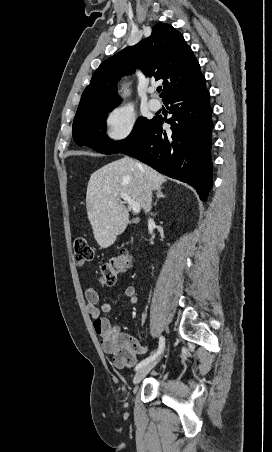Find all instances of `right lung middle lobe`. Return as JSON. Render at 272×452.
<instances>
[{
	"instance_id": "obj_1",
	"label": "right lung middle lobe",
	"mask_w": 272,
	"mask_h": 452,
	"mask_svg": "<svg viewBox=\"0 0 272 452\" xmlns=\"http://www.w3.org/2000/svg\"><path fill=\"white\" fill-rule=\"evenodd\" d=\"M112 108H96L75 116L73 122V138L80 145H87L102 154L121 153L141 137L144 130L152 122L139 118L132 133L122 141H113L105 133L107 112Z\"/></svg>"
}]
</instances>
